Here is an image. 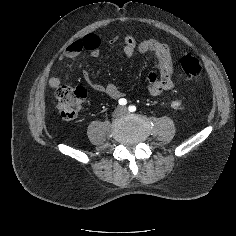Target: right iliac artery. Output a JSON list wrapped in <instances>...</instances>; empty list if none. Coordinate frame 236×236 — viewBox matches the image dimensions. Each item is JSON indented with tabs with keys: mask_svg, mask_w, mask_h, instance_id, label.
Returning <instances> with one entry per match:
<instances>
[{
	"mask_svg": "<svg viewBox=\"0 0 236 236\" xmlns=\"http://www.w3.org/2000/svg\"><path fill=\"white\" fill-rule=\"evenodd\" d=\"M118 102H119L120 105H126L127 104V100L125 98L119 99Z\"/></svg>",
	"mask_w": 236,
	"mask_h": 236,
	"instance_id": "82829eb1",
	"label": "right iliac artery"
}]
</instances>
